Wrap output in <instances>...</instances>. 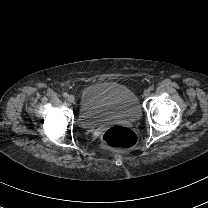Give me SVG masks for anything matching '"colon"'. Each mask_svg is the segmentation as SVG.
Here are the masks:
<instances>
[{"instance_id": "1", "label": "colon", "mask_w": 208, "mask_h": 208, "mask_svg": "<svg viewBox=\"0 0 208 208\" xmlns=\"http://www.w3.org/2000/svg\"><path fill=\"white\" fill-rule=\"evenodd\" d=\"M135 137L133 133L123 127H112L103 134L102 143L105 148H127L133 145Z\"/></svg>"}]
</instances>
